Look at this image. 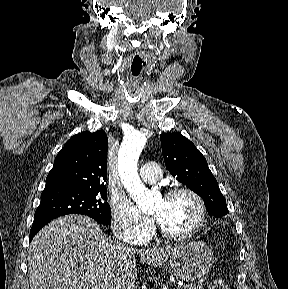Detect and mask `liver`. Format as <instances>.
Returning a JSON list of instances; mask_svg holds the SVG:
<instances>
[{
  "label": "liver",
  "mask_w": 288,
  "mask_h": 289,
  "mask_svg": "<svg viewBox=\"0 0 288 289\" xmlns=\"http://www.w3.org/2000/svg\"><path fill=\"white\" fill-rule=\"evenodd\" d=\"M174 247L135 250L106 238L98 223L83 215H66L42 228L30 243L31 289H134V254L161 266Z\"/></svg>",
  "instance_id": "1"
}]
</instances>
